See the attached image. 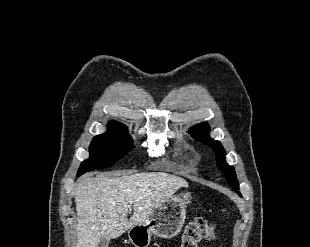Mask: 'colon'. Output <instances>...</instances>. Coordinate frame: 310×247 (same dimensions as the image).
Returning <instances> with one entry per match:
<instances>
[{
	"label": "colon",
	"mask_w": 310,
	"mask_h": 247,
	"mask_svg": "<svg viewBox=\"0 0 310 247\" xmlns=\"http://www.w3.org/2000/svg\"><path fill=\"white\" fill-rule=\"evenodd\" d=\"M215 228L203 218L189 222L183 232L181 247H198L202 240H214Z\"/></svg>",
	"instance_id": "1"
}]
</instances>
